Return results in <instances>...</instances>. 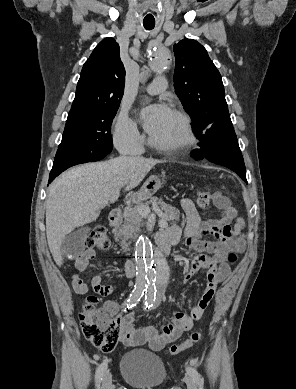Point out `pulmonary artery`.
<instances>
[{"label":"pulmonary artery","instance_id":"e3ab8cb5","mask_svg":"<svg viewBox=\"0 0 296 389\" xmlns=\"http://www.w3.org/2000/svg\"><path fill=\"white\" fill-rule=\"evenodd\" d=\"M167 87L166 79L162 76L156 77L146 88L150 95H156L163 92Z\"/></svg>","mask_w":296,"mask_h":389}]
</instances>
